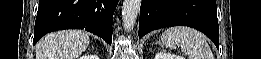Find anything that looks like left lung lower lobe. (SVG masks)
Wrapping results in <instances>:
<instances>
[{
	"label": "left lung lower lobe",
	"instance_id": "left-lung-lower-lobe-1",
	"mask_svg": "<svg viewBox=\"0 0 261 59\" xmlns=\"http://www.w3.org/2000/svg\"><path fill=\"white\" fill-rule=\"evenodd\" d=\"M177 25L203 32L219 49L215 0H142L139 38L152 30Z\"/></svg>",
	"mask_w": 261,
	"mask_h": 59
}]
</instances>
